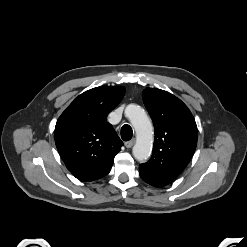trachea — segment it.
<instances>
[{
  "label": "trachea",
  "mask_w": 247,
  "mask_h": 247,
  "mask_svg": "<svg viewBox=\"0 0 247 247\" xmlns=\"http://www.w3.org/2000/svg\"><path fill=\"white\" fill-rule=\"evenodd\" d=\"M133 136V130L129 125H123L121 128V138L124 141H129Z\"/></svg>",
  "instance_id": "obj_1"
}]
</instances>
